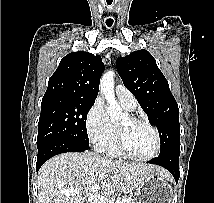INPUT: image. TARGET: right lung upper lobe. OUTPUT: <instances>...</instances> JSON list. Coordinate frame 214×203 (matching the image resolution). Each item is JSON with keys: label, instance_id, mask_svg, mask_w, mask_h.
<instances>
[{"label": "right lung upper lobe", "instance_id": "cb5924a9", "mask_svg": "<svg viewBox=\"0 0 214 203\" xmlns=\"http://www.w3.org/2000/svg\"><path fill=\"white\" fill-rule=\"evenodd\" d=\"M103 70L100 56L81 51L69 53L50 77L43 99L95 101Z\"/></svg>", "mask_w": 214, "mask_h": 203}]
</instances>
